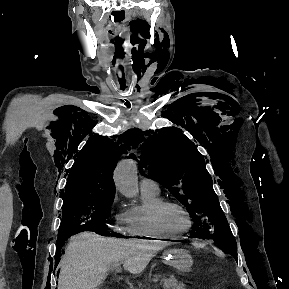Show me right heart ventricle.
Listing matches in <instances>:
<instances>
[{"label":"right heart ventricle","mask_w":289,"mask_h":289,"mask_svg":"<svg viewBox=\"0 0 289 289\" xmlns=\"http://www.w3.org/2000/svg\"><path fill=\"white\" fill-rule=\"evenodd\" d=\"M142 200L129 207L122 215V224L127 234L148 238H169L160 231L152 220L153 208L163 200L160 192L141 190Z\"/></svg>","instance_id":"right-heart-ventricle-1"}]
</instances>
